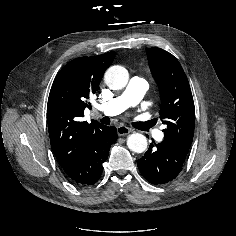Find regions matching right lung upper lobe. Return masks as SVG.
I'll list each match as a JSON object with an SVG mask.
<instances>
[{
  "mask_svg": "<svg viewBox=\"0 0 236 236\" xmlns=\"http://www.w3.org/2000/svg\"><path fill=\"white\" fill-rule=\"evenodd\" d=\"M115 52L80 57L67 63L56 75L47 104L50 143L60 166L67 173L80 161L89 139L103 127L98 122H81L88 99L98 90Z\"/></svg>",
  "mask_w": 236,
  "mask_h": 236,
  "instance_id": "1",
  "label": "right lung upper lobe"
}]
</instances>
